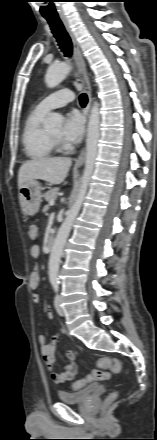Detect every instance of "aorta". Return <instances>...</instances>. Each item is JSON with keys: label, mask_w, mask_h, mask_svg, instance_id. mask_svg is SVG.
Wrapping results in <instances>:
<instances>
[{"label": "aorta", "mask_w": 157, "mask_h": 440, "mask_svg": "<svg viewBox=\"0 0 157 440\" xmlns=\"http://www.w3.org/2000/svg\"><path fill=\"white\" fill-rule=\"evenodd\" d=\"M70 70L71 65L68 63H60L49 66L45 75L47 87L54 88L58 86L65 79ZM48 120L49 126L56 128L61 125L63 117L58 113H50ZM99 136L100 112L98 103L94 101L87 127L85 169L81 178V185L73 206L68 210L65 220L58 230L50 253L49 279L51 282H56L58 280V272L63 248L87 193L97 157Z\"/></svg>", "instance_id": "aorta-1"}]
</instances>
